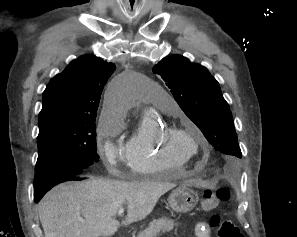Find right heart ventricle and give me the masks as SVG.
<instances>
[{
    "label": "right heart ventricle",
    "mask_w": 297,
    "mask_h": 237,
    "mask_svg": "<svg viewBox=\"0 0 297 237\" xmlns=\"http://www.w3.org/2000/svg\"><path fill=\"white\" fill-rule=\"evenodd\" d=\"M166 114L173 111L162 107ZM167 124L155 113L146 111L141 115L136 132L125 146L126 162L131 171L141 176L166 175L183 168L187 161L167 153L160 144V135Z\"/></svg>",
    "instance_id": "right-heart-ventricle-1"
}]
</instances>
